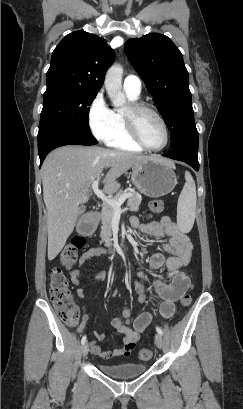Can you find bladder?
<instances>
[{
	"mask_svg": "<svg viewBox=\"0 0 243 409\" xmlns=\"http://www.w3.org/2000/svg\"><path fill=\"white\" fill-rule=\"evenodd\" d=\"M99 370L106 376L119 380H128L141 376L147 370L146 364L124 362L117 364L98 363Z\"/></svg>",
	"mask_w": 243,
	"mask_h": 409,
	"instance_id": "1",
	"label": "bladder"
}]
</instances>
